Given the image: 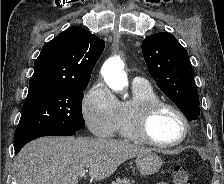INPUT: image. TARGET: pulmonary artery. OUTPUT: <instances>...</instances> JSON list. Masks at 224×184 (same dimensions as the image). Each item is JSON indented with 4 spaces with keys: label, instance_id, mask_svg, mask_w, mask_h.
Listing matches in <instances>:
<instances>
[{
    "label": "pulmonary artery",
    "instance_id": "pulmonary-artery-1",
    "mask_svg": "<svg viewBox=\"0 0 224 184\" xmlns=\"http://www.w3.org/2000/svg\"><path fill=\"white\" fill-rule=\"evenodd\" d=\"M133 83L138 86H146L147 85V81L143 77H140V76L134 77Z\"/></svg>",
    "mask_w": 224,
    "mask_h": 184
}]
</instances>
